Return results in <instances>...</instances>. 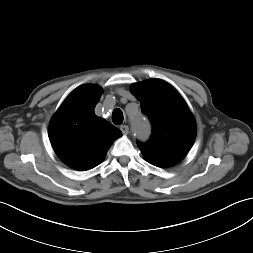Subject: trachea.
I'll list each match as a JSON object with an SVG mask.
<instances>
[{
  "label": "trachea",
  "instance_id": "obj_1",
  "mask_svg": "<svg viewBox=\"0 0 253 253\" xmlns=\"http://www.w3.org/2000/svg\"><path fill=\"white\" fill-rule=\"evenodd\" d=\"M123 112L119 109L116 108L114 109L113 113H112V121L114 124H122L123 123Z\"/></svg>",
  "mask_w": 253,
  "mask_h": 253
}]
</instances>
